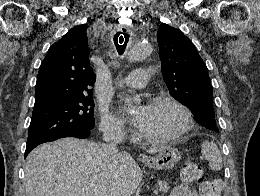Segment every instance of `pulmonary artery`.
I'll list each match as a JSON object with an SVG mask.
<instances>
[{"label":"pulmonary artery","mask_w":260,"mask_h":196,"mask_svg":"<svg viewBox=\"0 0 260 196\" xmlns=\"http://www.w3.org/2000/svg\"><path fill=\"white\" fill-rule=\"evenodd\" d=\"M150 69H134L130 79H119V84H148ZM142 85H125V90H141Z\"/></svg>","instance_id":"e3ab8cb5"}]
</instances>
